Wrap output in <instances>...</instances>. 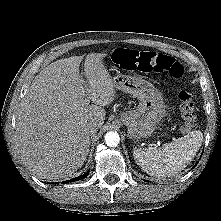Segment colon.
<instances>
[{
  "instance_id": "1",
  "label": "colon",
  "mask_w": 221,
  "mask_h": 221,
  "mask_svg": "<svg viewBox=\"0 0 221 221\" xmlns=\"http://www.w3.org/2000/svg\"><path fill=\"white\" fill-rule=\"evenodd\" d=\"M113 61L125 70H137L140 72H165L174 78L183 75L182 66L169 55L136 51L118 48L112 54ZM180 111L183 118V131L188 132L196 128L197 116L191 95L182 91L179 93Z\"/></svg>"
}]
</instances>
